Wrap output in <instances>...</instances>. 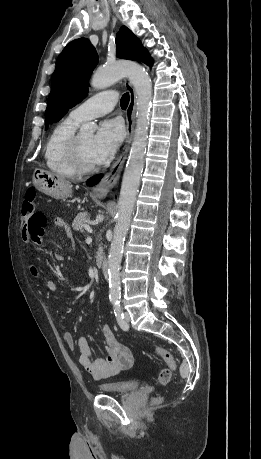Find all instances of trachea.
I'll list each match as a JSON object with an SVG mask.
<instances>
[{
  "label": "trachea",
  "instance_id": "obj_1",
  "mask_svg": "<svg viewBox=\"0 0 261 459\" xmlns=\"http://www.w3.org/2000/svg\"><path fill=\"white\" fill-rule=\"evenodd\" d=\"M128 104H129V94L125 93L121 98V102H120L121 108L126 109Z\"/></svg>",
  "mask_w": 261,
  "mask_h": 459
}]
</instances>
